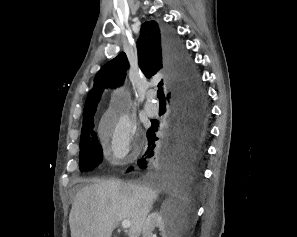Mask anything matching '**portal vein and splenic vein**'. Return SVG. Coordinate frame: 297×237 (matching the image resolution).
Listing matches in <instances>:
<instances>
[{
    "mask_svg": "<svg viewBox=\"0 0 297 237\" xmlns=\"http://www.w3.org/2000/svg\"><path fill=\"white\" fill-rule=\"evenodd\" d=\"M130 226H131V222H130L129 220H124V221H122V227H123L124 229H128V228H130Z\"/></svg>",
    "mask_w": 297,
    "mask_h": 237,
    "instance_id": "1",
    "label": "portal vein and splenic vein"
}]
</instances>
